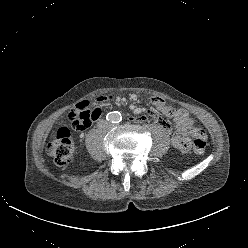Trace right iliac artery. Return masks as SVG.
<instances>
[{"label": "right iliac artery", "mask_w": 248, "mask_h": 248, "mask_svg": "<svg viewBox=\"0 0 248 248\" xmlns=\"http://www.w3.org/2000/svg\"><path fill=\"white\" fill-rule=\"evenodd\" d=\"M107 120H113L114 119V115L111 113H108L106 116Z\"/></svg>", "instance_id": "1"}]
</instances>
